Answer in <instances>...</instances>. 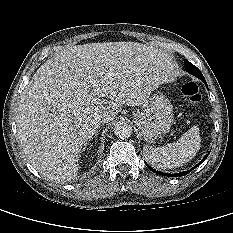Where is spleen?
Instances as JSON below:
<instances>
[{"mask_svg": "<svg viewBox=\"0 0 233 233\" xmlns=\"http://www.w3.org/2000/svg\"><path fill=\"white\" fill-rule=\"evenodd\" d=\"M200 146L199 128L193 126L176 142L158 148L145 145L143 152L152 166L158 169H172L188 163L199 151Z\"/></svg>", "mask_w": 233, "mask_h": 233, "instance_id": "spleen-1", "label": "spleen"}]
</instances>
